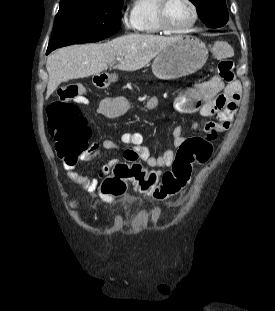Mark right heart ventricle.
<instances>
[{"instance_id":"right-heart-ventricle-1","label":"right heart ventricle","mask_w":275,"mask_h":311,"mask_svg":"<svg viewBox=\"0 0 275 311\" xmlns=\"http://www.w3.org/2000/svg\"><path fill=\"white\" fill-rule=\"evenodd\" d=\"M158 3L159 0H134L131 15L139 33L145 35L162 33L157 20Z\"/></svg>"}]
</instances>
